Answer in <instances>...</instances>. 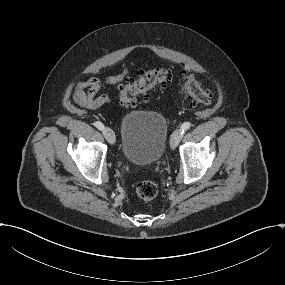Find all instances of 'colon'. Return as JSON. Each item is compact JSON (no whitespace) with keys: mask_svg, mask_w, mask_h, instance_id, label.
<instances>
[{"mask_svg":"<svg viewBox=\"0 0 285 285\" xmlns=\"http://www.w3.org/2000/svg\"><path fill=\"white\" fill-rule=\"evenodd\" d=\"M174 79L182 83L187 99L196 105H210L213 95L205 90L195 77L186 72L169 68L141 70L136 77L128 78L118 86L119 101L124 106H135L141 99L148 97L158 88L166 87ZM136 195L143 201H150L157 196L156 185L151 181H141L136 185Z\"/></svg>","mask_w":285,"mask_h":285,"instance_id":"5ec220e1","label":"colon"}]
</instances>
